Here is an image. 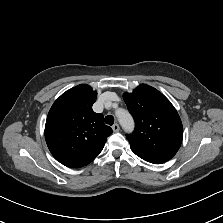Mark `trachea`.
I'll return each instance as SVG.
<instances>
[{
	"label": "trachea",
	"instance_id": "1",
	"mask_svg": "<svg viewBox=\"0 0 223 223\" xmlns=\"http://www.w3.org/2000/svg\"><path fill=\"white\" fill-rule=\"evenodd\" d=\"M105 123L109 124V125H113L114 124V117L112 115H108L105 117Z\"/></svg>",
	"mask_w": 223,
	"mask_h": 223
}]
</instances>
